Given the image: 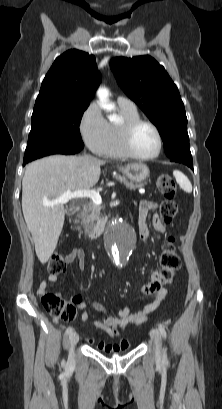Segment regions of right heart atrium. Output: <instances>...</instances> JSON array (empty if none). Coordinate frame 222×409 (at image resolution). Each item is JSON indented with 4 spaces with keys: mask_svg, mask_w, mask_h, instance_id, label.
Listing matches in <instances>:
<instances>
[{
    "mask_svg": "<svg viewBox=\"0 0 222 409\" xmlns=\"http://www.w3.org/2000/svg\"><path fill=\"white\" fill-rule=\"evenodd\" d=\"M79 130L87 147L101 154L109 140V124L97 103H90L83 111L79 121Z\"/></svg>",
    "mask_w": 222,
    "mask_h": 409,
    "instance_id": "right-heart-atrium-1",
    "label": "right heart atrium"
}]
</instances>
